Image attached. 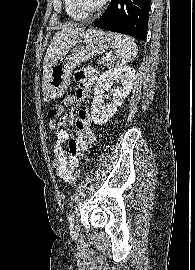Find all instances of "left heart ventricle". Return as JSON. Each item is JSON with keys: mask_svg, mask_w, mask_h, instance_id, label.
I'll list each match as a JSON object with an SVG mask.
<instances>
[{"mask_svg": "<svg viewBox=\"0 0 195 270\" xmlns=\"http://www.w3.org/2000/svg\"><path fill=\"white\" fill-rule=\"evenodd\" d=\"M101 0H76L78 7L83 11L94 9Z\"/></svg>", "mask_w": 195, "mask_h": 270, "instance_id": "left-heart-ventricle-1", "label": "left heart ventricle"}]
</instances>
